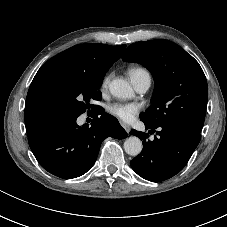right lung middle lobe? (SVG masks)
I'll return each mask as SVG.
<instances>
[{
  "label": "right lung middle lobe",
  "mask_w": 227,
  "mask_h": 227,
  "mask_svg": "<svg viewBox=\"0 0 227 227\" xmlns=\"http://www.w3.org/2000/svg\"><path fill=\"white\" fill-rule=\"evenodd\" d=\"M105 74H54L46 88V98L55 118L79 116L90 107V100H100L98 91Z\"/></svg>",
  "instance_id": "obj_1"
}]
</instances>
